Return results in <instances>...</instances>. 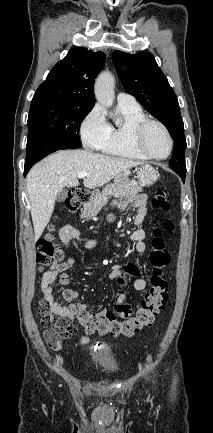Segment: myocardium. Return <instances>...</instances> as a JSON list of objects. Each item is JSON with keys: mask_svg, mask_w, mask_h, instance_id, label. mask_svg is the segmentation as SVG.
<instances>
[{"mask_svg": "<svg viewBox=\"0 0 213 433\" xmlns=\"http://www.w3.org/2000/svg\"><path fill=\"white\" fill-rule=\"evenodd\" d=\"M153 125L160 127L164 131V133L166 134V136L169 140V143H170L169 152L167 153V155H165L163 157L156 156L153 153H151L145 144L146 131L150 126H153ZM132 139H133V143H134V146L136 147V149L140 153H142L144 156H146L147 158H150V159L165 160L168 157H170V155L172 154V152L174 150V139H173L171 132L169 131V129L167 128V126L164 123H162L161 121L156 120V119L145 118V119L141 120L140 122H138L133 127Z\"/></svg>", "mask_w": 213, "mask_h": 433, "instance_id": "f54148a6", "label": "myocardium"}]
</instances>
